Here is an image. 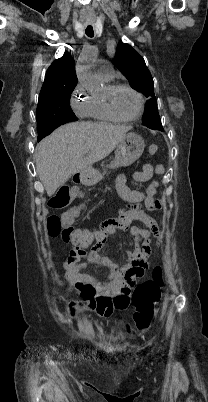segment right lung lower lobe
Returning a JSON list of instances; mask_svg holds the SVG:
<instances>
[{"instance_id":"obj_1","label":"right lung lower lobe","mask_w":208,"mask_h":402,"mask_svg":"<svg viewBox=\"0 0 208 402\" xmlns=\"http://www.w3.org/2000/svg\"><path fill=\"white\" fill-rule=\"evenodd\" d=\"M65 124L64 122L51 119V120H44L37 123L38 130L44 132L45 136L49 135L54 129L59 127L60 125Z\"/></svg>"}]
</instances>
